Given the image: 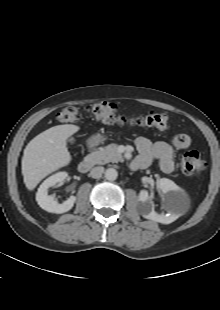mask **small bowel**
<instances>
[{"label":"small bowel","mask_w":220,"mask_h":310,"mask_svg":"<svg viewBox=\"0 0 220 310\" xmlns=\"http://www.w3.org/2000/svg\"><path fill=\"white\" fill-rule=\"evenodd\" d=\"M191 138L187 134H178L170 142H152L146 137H139L136 146L139 156L132 162V169H143L158 160L164 173L174 170V153L190 146Z\"/></svg>","instance_id":"c3829d8e"}]
</instances>
